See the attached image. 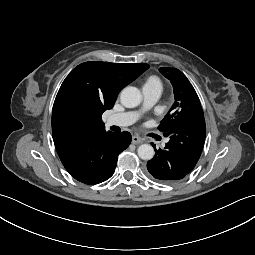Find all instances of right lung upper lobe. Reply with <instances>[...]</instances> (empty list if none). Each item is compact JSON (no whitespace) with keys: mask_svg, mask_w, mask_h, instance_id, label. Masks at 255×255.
<instances>
[{"mask_svg":"<svg viewBox=\"0 0 255 255\" xmlns=\"http://www.w3.org/2000/svg\"><path fill=\"white\" fill-rule=\"evenodd\" d=\"M149 68L148 64L89 61L63 81L52 110L55 145L104 131V111L114 106L119 91Z\"/></svg>","mask_w":255,"mask_h":255,"instance_id":"cb5924a9","label":"right lung upper lobe"}]
</instances>
